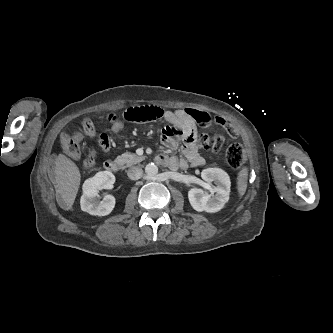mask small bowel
Instances as JSON below:
<instances>
[{
	"mask_svg": "<svg viewBox=\"0 0 333 333\" xmlns=\"http://www.w3.org/2000/svg\"><path fill=\"white\" fill-rule=\"evenodd\" d=\"M156 107V106H154ZM163 118L171 124L164 132V144L169 149H175L181 140L183 142L181 151L184 158L170 157L161 154L157 157L158 162L171 169H186L189 165L202 166L205 159L200 155L196 145V133L194 123L208 127L212 123L220 125L230 138L236 139L238 134L230 124L221 117L212 118L209 113L199 110H186L181 114L164 111ZM227 122V123H226ZM125 121L118 118L112 125V131L118 132L124 126ZM75 157H78L75 156Z\"/></svg>",
	"mask_w": 333,
	"mask_h": 333,
	"instance_id": "small-bowel-1",
	"label": "small bowel"
}]
</instances>
